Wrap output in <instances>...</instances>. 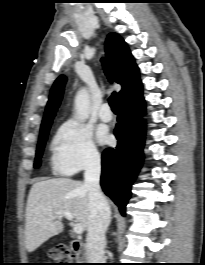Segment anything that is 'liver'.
I'll use <instances>...</instances> for the list:
<instances>
[{
  "mask_svg": "<svg viewBox=\"0 0 205 265\" xmlns=\"http://www.w3.org/2000/svg\"><path fill=\"white\" fill-rule=\"evenodd\" d=\"M88 188L69 178H55L32 185L25 215V247L35 251L49 238L63 231L58 212L68 211L75 221L88 229L90 220Z\"/></svg>",
  "mask_w": 205,
  "mask_h": 265,
  "instance_id": "6515ba94",
  "label": "liver"
}]
</instances>
